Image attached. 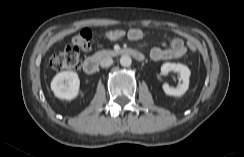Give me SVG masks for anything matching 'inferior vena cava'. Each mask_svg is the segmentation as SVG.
<instances>
[{
  "label": "inferior vena cava",
  "mask_w": 244,
  "mask_h": 157,
  "mask_svg": "<svg viewBox=\"0 0 244 157\" xmlns=\"http://www.w3.org/2000/svg\"><path fill=\"white\" fill-rule=\"evenodd\" d=\"M113 64V59L111 57H104L101 61H100V66L102 68H106L109 67Z\"/></svg>",
  "instance_id": "1"
}]
</instances>
